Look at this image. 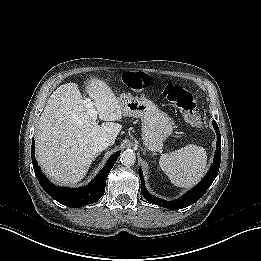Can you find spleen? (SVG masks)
Instances as JSON below:
<instances>
[{
    "label": "spleen",
    "instance_id": "obj_1",
    "mask_svg": "<svg viewBox=\"0 0 261 261\" xmlns=\"http://www.w3.org/2000/svg\"><path fill=\"white\" fill-rule=\"evenodd\" d=\"M207 164L205 148L194 144L162 154L159 165L171 182L178 187L196 184L204 174Z\"/></svg>",
    "mask_w": 261,
    "mask_h": 261
}]
</instances>
